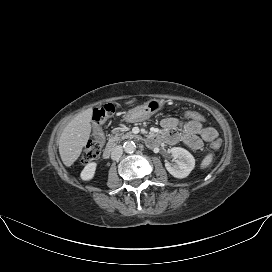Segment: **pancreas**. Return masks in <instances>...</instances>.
Listing matches in <instances>:
<instances>
[{"mask_svg": "<svg viewBox=\"0 0 272 272\" xmlns=\"http://www.w3.org/2000/svg\"><path fill=\"white\" fill-rule=\"evenodd\" d=\"M135 135H133L131 132L125 133L123 130H116L114 131V136L110 138V142H118L126 138H134Z\"/></svg>", "mask_w": 272, "mask_h": 272, "instance_id": "pancreas-1", "label": "pancreas"}]
</instances>
